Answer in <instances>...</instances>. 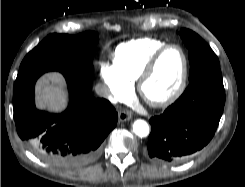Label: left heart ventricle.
<instances>
[{
  "label": "left heart ventricle",
  "mask_w": 245,
  "mask_h": 187,
  "mask_svg": "<svg viewBox=\"0 0 245 187\" xmlns=\"http://www.w3.org/2000/svg\"><path fill=\"white\" fill-rule=\"evenodd\" d=\"M183 67L181 53L168 50L159 60L153 75L144 87L145 95L151 100H160L169 95L177 86Z\"/></svg>",
  "instance_id": "left-heart-ventricle-1"
}]
</instances>
